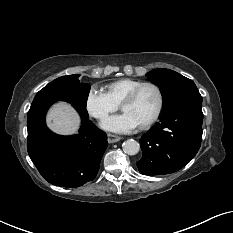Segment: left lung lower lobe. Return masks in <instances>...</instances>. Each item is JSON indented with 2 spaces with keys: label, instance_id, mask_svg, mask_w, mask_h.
Here are the masks:
<instances>
[{
  "label": "left lung lower lobe",
  "instance_id": "left-lung-lower-lobe-1",
  "mask_svg": "<svg viewBox=\"0 0 233 233\" xmlns=\"http://www.w3.org/2000/svg\"><path fill=\"white\" fill-rule=\"evenodd\" d=\"M202 122V101L182 103L162 112L160 121L140 139V173L169 174L187 165L200 148Z\"/></svg>",
  "mask_w": 233,
  "mask_h": 233
}]
</instances>
